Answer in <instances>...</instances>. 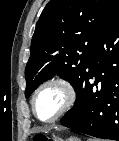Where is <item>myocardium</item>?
Wrapping results in <instances>:
<instances>
[{"label":"myocardium","mask_w":119,"mask_h":141,"mask_svg":"<svg viewBox=\"0 0 119 141\" xmlns=\"http://www.w3.org/2000/svg\"><path fill=\"white\" fill-rule=\"evenodd\" d=\"M56 86L60 88L64 94V100L59 111L49 119H41L36 112V99L38 95L46 88ZM76 101V91L73 84L64 77H54L45 82H43L38 88L34 91L31 99V108L34 116L43 123H52L63 117L68 113L74 106Z\"/></svg>","instance_id":"1"}]
</instances>
